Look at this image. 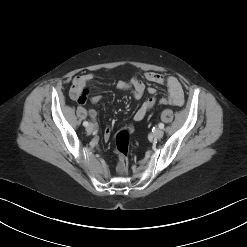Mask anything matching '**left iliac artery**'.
Listing matches in <instances>:
<instances>
[{"mask_svg":"<svg viewBox=\"0 0 247 247\" xmlns=\"http://www.w3.org/2000/svg\"><path fill=\"white\" fill-rule=\"evenodd\" d=\"M159 128L163 129L164 128V124L163 123H160L159 124Z\"/></svg>","mask_w":247,"mask_h":247,"instance_id":"1","label":"left iliac artery"}]
</instances>
